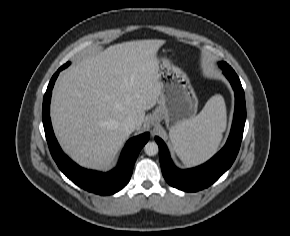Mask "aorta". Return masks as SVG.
Returning <instances> with one entry per match:
<instances>
[{
  "label": "aorta",
  "instance_id": "obj_1",
  "mask_svg": "<svg viewBox=\"0 0 290 236\" xmlns=\"http://www.w3.org/2000/svg\"><path fill=\"white\" fill-rule=\"evenodd\" d=\"M144 151L148 156H154L158 153L159 148L156 142H147L144 146Z\"/></svg>",
  "mask_w": 290,
  "mask_h": 236
}]
</instances>
